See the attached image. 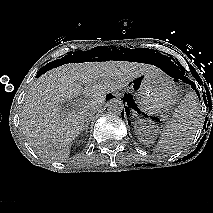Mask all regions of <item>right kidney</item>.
<instances>
[{
    "label": "right kidney",
    "instance_id": "ca27d5eb",
    "mask_svg": "<svg viewBox=\"0 0 213 213\" xmlns=\"http://www.w3.org/2000/svg\"><path fill=\"white\" fill-rule=\"evenodd\" d=\"M81 143V141H76V144H80Z\"/></svg>",
    "mask_w": 213,
    "mask_h": 213
}]
</instances>
